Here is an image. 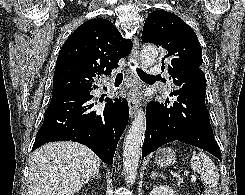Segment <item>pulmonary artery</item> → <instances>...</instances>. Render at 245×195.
Masks as SVG:
<instances>
[{"instance_id":"e3ab8cb5","label":"pulmonary artery","mask_w":245,"mask_h":195,"mask_svg":"<svg viewBox=\"0 0 245 195\" xmlns=\"http://www.w3.org/2000/svg\"><path fill=\"white\" fill-rule=\"evenodd\" d=\"M154 71H155V72H159V70H157V69H155Z\"/></svg>"}]
</instances>
